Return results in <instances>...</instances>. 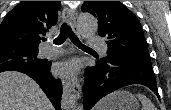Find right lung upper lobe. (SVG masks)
Returning <instances> with one entry per match:
<instances>
[{
  "mask_svg": "<svg viewBox=\"0 0 171 110\" xmlns=\"http://www.w3.org/2000/svg\"><path fill=\"white\" fill-rule=\"evenodd\" d=\"M60 1H21L0 25V47H39L40 37L57 23Z\"/></svg>",
  "mask_w": 171,
  "mask_h": 110,
  "instance_id": "1",
  "label": "right lung upper lobe"
}]
</instances>
